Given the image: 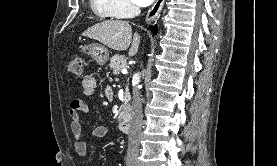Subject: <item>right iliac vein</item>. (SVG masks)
I'll return each instance as SVG.
<instances>
[{"instance_id":"obj_1","label":"right iliac vein","mask_w":277,"mask_h":166,"mask_svg":"<svg viewBox=\"0 0 277 166\" xmlns=\"http://www.w3.org/2000/svg\"><path fill=\"white\" fill-rule=\"evenodd\" d=\"M127 166H135V163L134 162H128Z\"/></svg>"}]
</instances>
